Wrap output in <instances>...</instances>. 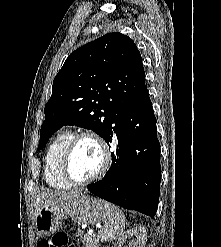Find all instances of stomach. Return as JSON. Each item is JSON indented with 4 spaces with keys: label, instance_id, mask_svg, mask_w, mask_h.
Segmentation results:
<instances>
[{
    "label": "stomach",
    "instance_id": "obj_1",
    "mask_svg": "<svg viewBox=\"0 0 221 247\" xmlns=\"http://www.w3.org/2000/svg\"><path fill=\"white\" fill-rule=\"evenodd\" d=\"M106 203L85 194L56 206H42L35 217V229L39 236L54 233L61 221L67 218L82 223L95 224L106 218Z\"/></svg>",
    "mask_w": 221,
    "mask_h": 247
}]
</instances>
